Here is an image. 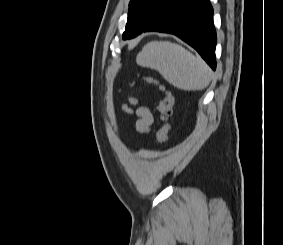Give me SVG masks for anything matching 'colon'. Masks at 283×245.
I'll return each instance as SVG.
<instances>
[{"instance_id":"5ec220e1","label":"colon","mask_w":283,"mask_h":245,"mask_svg":"<svg viewBox=\"0 0 283 245\" xmlns=\"http://www.w3.org/2000/svg\"><path fill=\"white\" fill-rule=\"evenodd\" d=\"M142 79L149 84H153L163 93V98L157 105V114L160 121V126L157 131V140L159 143L164 144L169 139V123L168 120L173 112L174 95L166 88L157 78L145 75Z\"/></svg>"}]
</instances>
